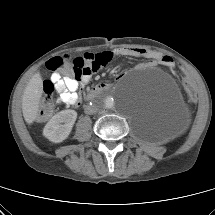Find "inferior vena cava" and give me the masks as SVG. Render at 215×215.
Wrapping results in <instances>:
<instances>
[{
  "instance_id": "obj_1",
  "label": "inferior vena cava",
  "mask_w": 215,
  "mask_h": 215,
  "mask_svg": "<svg viewBox=\"0 0 215 215\" xmlns=\"http://www.w3.org/2000/svg\"><path fill=\"white\" fill-rule=\"evenodd\" d=\"M96 111H97V107L94 104L85 106V113L87 114H93Z\"/></svg>"
}]
</instances>
